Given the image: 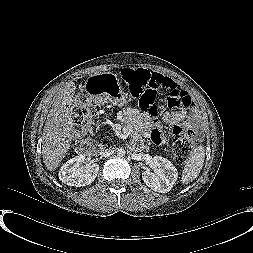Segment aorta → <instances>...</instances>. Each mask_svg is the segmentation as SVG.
<instances>
[{"mask_svg": "<svg viewBox=\"0 0 253 253\" xmlns=\"http://www.w3.org/2000/svg\"><path fill=\"white\" fill-rule=\"evenodd\" d=\"M126 151H127L126 148L122 146V147H120V148L118 149L117 152H118L119 155L122 156V155H124V154L126 153Z\"/></svg>", "mask_w": 253, "mask_h": 253, "instance_id": "aorta-1", "label": "aorta"}]
</instances>
